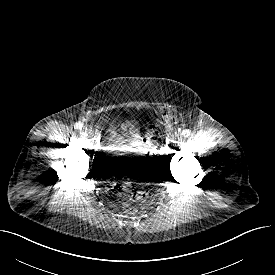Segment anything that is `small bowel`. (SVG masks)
<instances>
[{"label":"small bowel","mask_w":275,"mask_h":275,"mask_svg":"<svg viewBox=\"0 0 275 275\" xmlns=\"http://www.w3.org/2000/svg\"><path fill=\"white\" fill-rule=\"evenodd\" d=\"M123 130H124V131L136 130V128H135V126H134L133 124H130V123H129V124H126V125L123 126ZM112 135H113V133H112ZM112 135H111V136H112Z\"/></svg>","instance_id":"obj_1"}]
</instances>
